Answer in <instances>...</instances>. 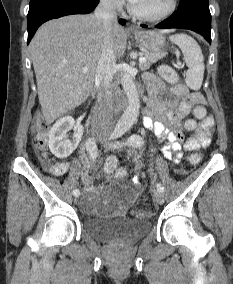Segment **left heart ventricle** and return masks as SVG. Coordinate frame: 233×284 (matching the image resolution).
Masks as SVG:
<instances>
[{"mask_svg": "<svg viewBox=\"0 0 233 284\" xmlns=\"http://www.w3.org/2000/svg\"><path fill=\"white\" fill-rule=\"evenodd\" d=\"M134 8L146 15H156L163 12L169 5V0H136Z\"/></svg>", "mask_w": 233, "mask_h": 284, "instance_id": "obj_1", "label": "left heart ventricle"}]
</instances>
